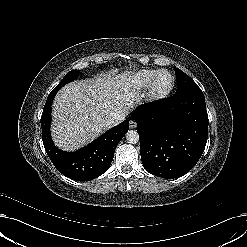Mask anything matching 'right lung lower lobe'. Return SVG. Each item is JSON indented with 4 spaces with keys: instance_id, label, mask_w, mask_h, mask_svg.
<instances>
[{
    "instance_id": "1",
    "label": "right lung lower lobe",
    "mask_w": 247,
    "mask_h": 247,
    "mask_svg": "<svg viewBox=\"0 0 247 247\" xmlns=\"http://www.w3.org/2000/svg\"><path fill=\"white\" fill-rule=\"evenodd\" d=\"M58 90L49 94L41 116L42 137L45 150L56 169L72 180L89 181L109 168L115 148L129 129V120L113 127L91 144L75 152L58 149L51 140V106Z\"/></svg>"
}]
</instances>
